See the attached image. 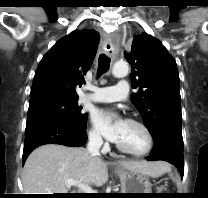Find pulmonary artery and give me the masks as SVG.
Returning a JSON list of instances; mask_svg holds the SVG:
<instances>
[{
	"label": "pulmonary artery",
	"instance_id": "pulmonary-artery-1",
	"mask_svg": "<svg viewBox=\"0 0 208 198\" xmlns=\"http://www.w3.org/2000/svg\"><path fill=\"white\" fill-rule=\"evenodd\" d=\"M92 93L83 96L85 100L100 103H110L124 101L129 94V85L127 81L121 80L117 85L110 87H93Z\"/></svg>",
	"mask_w": 208,
	"mask_h": 198
}]
</instances>
